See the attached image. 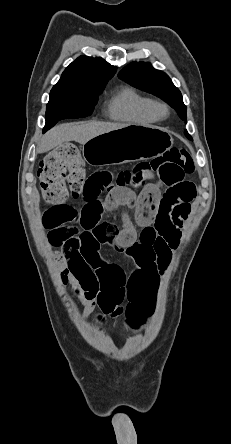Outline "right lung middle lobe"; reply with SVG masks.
Segmentation results:
<instances>
[{"label":"right lung middle lobe","instance_id":"obj_1","mask_svg":"<svg viewBox=\"0 0 231 444\" xmlns=\"http://www.w3.org/2000/svg\"><path fill=\"white\" fill-rule=\"evenodd\" d=\"M101 92L102 89L95 91L51 90L43 132L50 129L59 120L89 116L96 104L97 96Z\"/></svg>","mask_w":231,"mask_h":444}]
</instances>
